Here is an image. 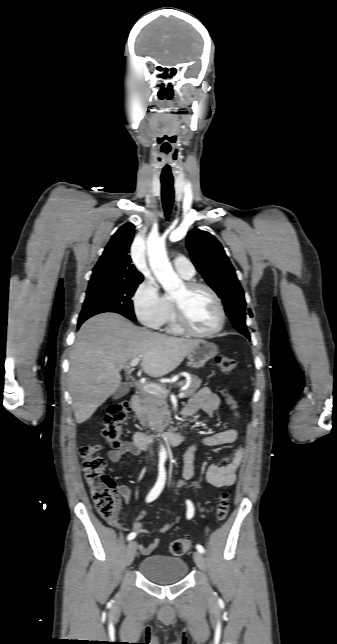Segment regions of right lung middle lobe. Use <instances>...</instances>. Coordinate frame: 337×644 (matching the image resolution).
I'll list each match as a JSON object with an SVG mask.
<instances>
[{
  "label": "right lung middle lobe",
  "instance_id": "dd1d6c3e",
  "mask_svg": "<svg viewBox=\"0 0 337 644\" xmlns=\"http://www.w3.org/2000/svg\"><path fill=\"white\" fill-rule=\"evenodd\" d=\"M141 282L89 283L79 321L104 312H115L135 321L131 298Z\"/></svg>",
  "mask_w": 337,
  "mask_h": 644
}]
</instances>
